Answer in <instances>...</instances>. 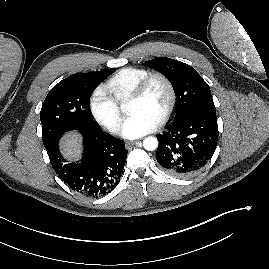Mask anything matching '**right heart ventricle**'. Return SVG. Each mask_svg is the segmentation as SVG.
Listing matches in <instances>:
<instances>
[{"label": "right heart ventricle", "mask_w": 269, "mask_h": 269, "mask_svg": "<svg viewBox=\"0 0 269 269\" xmlns=\"http://www.w3.org/2000/svg\"><path fill=\"white\" fill-rule=\"evenodd\" d=\"M150 73L139 67H126L116 72L105 84V89L117 102L127 100L137 84Z\"/></svg>", "instance_id": "right-heart-ventricle-1"}]
</instances>
